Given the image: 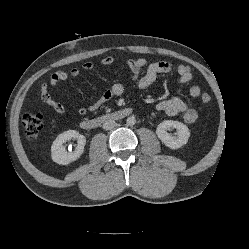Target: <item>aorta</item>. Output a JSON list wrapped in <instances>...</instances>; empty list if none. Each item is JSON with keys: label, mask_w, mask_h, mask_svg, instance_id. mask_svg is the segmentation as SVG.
Wrapping results in <instances>:
<instances>
[{"label": "aorta", "mask_w": 249, "mask_h": 249, "mask_svg": "<svg viewBox=\"0 0 249 249\" xmlns=\"http://www.w3.org/2000/svg\"><path fill=\"white\" fill-rule=\"evenodd\" d=\"M136 123V119L134 116H130L127 118V124L128 125H134Z\"/></svg>", "instance_id": "aorta-1"}]
</instances>
